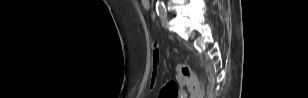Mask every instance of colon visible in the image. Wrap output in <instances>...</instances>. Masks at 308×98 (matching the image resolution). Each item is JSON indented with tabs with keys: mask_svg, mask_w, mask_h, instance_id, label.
<instances>
[{
	"mask_svg": "<svg viewBox=\"0 0 308 98\" xmlns=\"http://www.w3.org/2000/svg\"><path fill=\"white\" fill-rule=\"evenodd\" d=\"M159 52L157 48L153 49L152 54V75H151V87L155 86L157 79V68L159 65ZM177 73L185 83L190 93L191 98H202L203 90L198 81L196 75L192 71L191 67L185 63L177 65ZM178 95V87L174 81L168 80L161 87L159 98H176Z\"/></svg>",
	"mask_w": 308,
	"mask_h": 98,
	"instance_id": "1",
	"label": "colon"
}]
</instances>
